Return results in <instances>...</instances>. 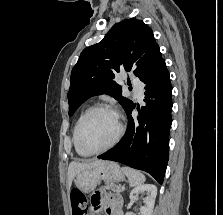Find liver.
Returning <instances> with one entry per match:
<instances>
[{
	"label": "liver",
	"mask_w": 223,
	"mask_h": 215,
	"mask_svg": "<svg viewBox=\"0 0 223 215\" xmlns=\"http://www.w3.org/2000/svg\"><path fill=\"white\" fill-rule=\"evenodd\" d=\"M103 159H92V161H88V163H79V161H71L68 167V189H70L72 185V181L74 177H76L77 173L80 171H84V169H91V167H95V165H100Z\"/></svg>",
	"instance_id": "6515ba94"
}]
</instances>
